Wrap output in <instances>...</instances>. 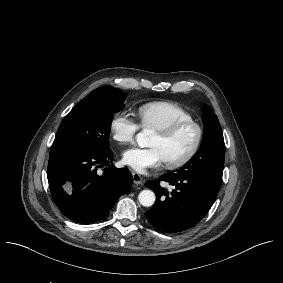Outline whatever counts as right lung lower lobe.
Returning <instances> with one entry per match:
<instances>
[{"label": "right lung lower lobe", "instance_id": "right-lung-lower-lobe-1", "mask_svg": "<svg viewBox=\"0 0 283 283\" xmlns=\"http://www.w3.org/2000/svg\"><path fill=\"white\" fill-rule=\"evenodd\" d=\"M113 152L68 149L50 152L47 176L53 200L69 219L93 223L104 218L132 185L127 168L111 165ZM109 166L100 175L98 168Z\"/></svg>", "mask_w": 283, "mask_h": 283}]
</instances>
